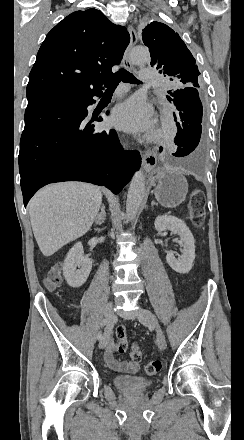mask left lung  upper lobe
<instances>
[{
  "instance_id": "obj_1",
  "label": "left lung upper lobe",
  "mask_w": 244,
  "mask_h": 440,
  "mask_svg": "<svg viewBox=\"0 0 244 440\" xmlns=\"http://www.w3.org/2000/svg\"><path fill=\"white\" fill-rule=\"evenodd\" d=\"M142 37L150 51L151 66L171 81L199 88L196 61L178 33L154 21L143 29Z\"/></svg>"
}]
</instances>
